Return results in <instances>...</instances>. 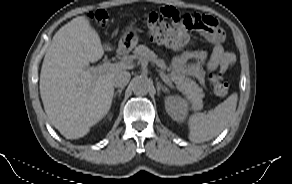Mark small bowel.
I'll list each match as a JSON object with an SVG mask.
<instances>
[{
  "label": "small bowel",
  "instance_id": "1",
  "mask_svg": "<svg viewBox=\"0 0 292 184\" xmlns=\"http://www.w3.org/2000/svg\"><path fill=\"white\" fill-rule=\"evenodd\" d=\"M208 25L197 28L205 38L213 45V50L209 58L204 50H187L176 55L172 60L173 70L184 76L194 77L200 84L205 83L206 76L219 69L220 73H225L234 63L235 55L224 50L223 42L225 34L218 25V21L212 16H205ZM194 60L191 62V60Z\"/></svg>",
  "mask_w": 292,
  "mask_h": 184
}]
</instances>
